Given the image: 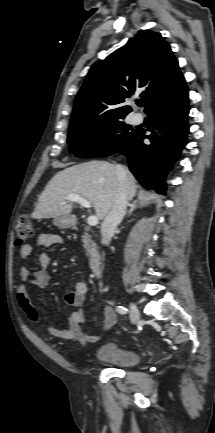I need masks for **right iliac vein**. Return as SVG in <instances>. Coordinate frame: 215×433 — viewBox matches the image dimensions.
I'll return each mask as SVG.
<instances>
[{
  "instance_id": "1",
  "label": "right iliac vein",
  "mask_w": 215,
  "mask_h": 433,
  "mask_svg": "<svg viewBox=\"0 0 215 433\" xmlns=\"http://www.w3.org/2000/svg\"><path fill=\"white\" fill-rule=\"evenodd\" d=\"M130 319L133 324H136L140 319V311L137 305L133 302L130 303Z\"/></svg>"
}]
</instances>
